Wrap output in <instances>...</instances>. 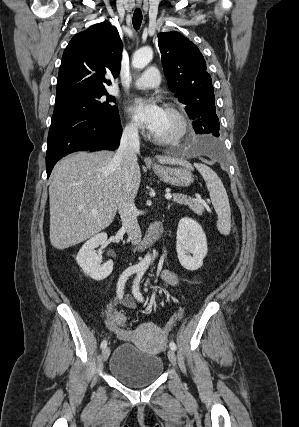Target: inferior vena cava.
Segmentation results:
<instances>
[{
    "label": "inferior vena cava",
    "instance_id": "602c4592",
    "mask_svg": "<svg viewBox=\"0 0 299 427\" xmlns=\"http://www.w3.org/2000/svg\"><path fill=\"white\" fill-rule=\"evenodd\" d=\"M140 149L138 130L128 126L123 130L120 146L115 154V159L122 162V173L126 184L119 199L118 211L122 225L126 229L128 237L133 245L141 242L142 234L137 221V208L131 195V179L137 163V153Z\"/></svg>",
    "mask_w": 299,
    "mask_h": 427
}]
</instances>
